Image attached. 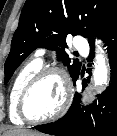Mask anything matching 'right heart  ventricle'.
<instances>
[{"label":"right heart ventricle","instance_id":"right-heart-ventricle-1","mask_svg":"<svg viewBox=\"0 0 117 136\" xmlns=\"http://www.w3.org/2000/svg\"><path fill=\"white\" fill-rule=\"evenodd\" d=\"M41 67L42 61L37 58L32 59L18 71L11 84L8 105L9 116L11 121L17 125L24 124V120H22L17 114V106L21 91L30 78L39 71Z\"/></svg>","mask_w":117,"mask_h":136}]
</instances>
